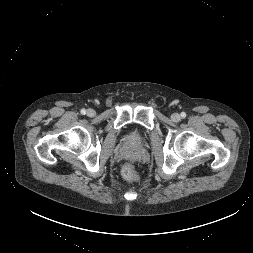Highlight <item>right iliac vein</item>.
Wrapping results in <instances>:
<instances>
[{"instance_id":"obj_1","label":"right iliac vein","mask_w":253,"mask_h":253,"mask_svg":"<svg viewBox=\"0 0 253 253\" xmlns=\"http://www.w3.org/2000/svg\"><path fill=\"white\" fill-rule=\"evenodd\" d=\"M95 114H96L95 110H93V109H88L87 110V115L88 116L93 117V116H95Z\"/></svg>"}]
</instances>
